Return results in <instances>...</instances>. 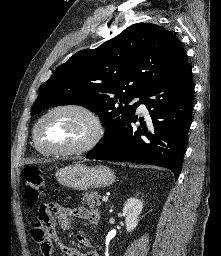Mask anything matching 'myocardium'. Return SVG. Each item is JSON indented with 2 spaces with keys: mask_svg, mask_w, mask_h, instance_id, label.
<instances>
[{
  "mask_svg": "<svg viewBox=\"0 0 221 256\" xmlns=\"http://www.w3.org/2000/svg\"><path fill=\"white\" fill-rule=\"evenodd\" d=\"M65 110H72V111L79 112L83 114L90 121L92 126V131L90 136L83 143L70 148L53 149V148H48L44 146L41 143L39 138V130L42 123L52 114L59 111H65ZM105 130L106 129H105L103 120L95 110H93L92 108L86 105L79 104V103H66V104H60L52 107L39 118V120L37 121L33 129V141L37 149L45 154L59 155V156L76 155V154H82V153L88 152L92 150L94 147H96L99 144V142L103 139L105 135Z\"/></svg>",
  "mask_w": 221,
  "mask_h": 256,
  "instance_id": "obj_1",
  "label": "myocardium"
}]
</instances>
